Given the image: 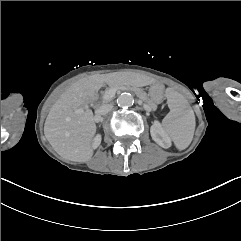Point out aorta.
Masks as SVG:
<instances>
[{"label":"aorta","instance_id":"1","mask_svg":"<svg viewBox=\"0 0 241 241\" xmlns=\"http://www.w3.org/2000/svg\"><path fill=\"white\" fill-rule=\"evenodd\" d=\"M134 103V98L131 94L129 93H122L118 98H117V104L121 108H128L131 107Z\"/></svg>","mask_w":241,"mask_h":241}]
</instances>
